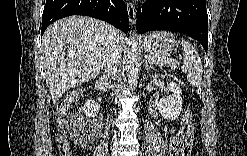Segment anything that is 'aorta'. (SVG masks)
I'll use <instances>...</instances> for the list:
<instances>
[{
  "label": "aorta",
  "instance_id": "1",
  "mask_svg": "<svg viewBox=\"0 0 247 156\" xmlns=\"http://www.w3.org/2000/svg\"><path fill=\"white\" fill-rule=\"evenodd\" d=\"M139 63H138V43L136 34L130 33L128 49L126 52V70L128 74V83L131 88L137 87L139 77Z\"/></svg>",
  "mask_w": 247,
  "mask_h": 156
}]
</instances>
